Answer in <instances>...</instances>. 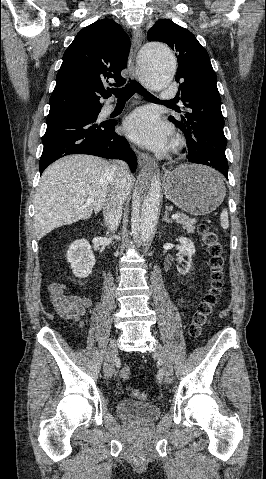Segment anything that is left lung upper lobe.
<instances>
[{
  "label": "left lung upper lobe",
  "mask_w": 266,
  "mask_h": 479,
  "mask_svg": "<svg viewBox=\"0 0 266 479\" xmlns=\"http://www.w3.org/2000/svg\"><path fill=\"white\" fill-rule=\"evenodd\" d=\"M147 39L164 42L176 52L178 93L189 110L181 120L172 116L169 120L184 133L189 158L209 166L217 162L228 164L217 76L206 49L190 31L167 19L158 20L148 31Z\"/></svg>",
  "instance_id": "5c2ea615"
}]
</instances>
